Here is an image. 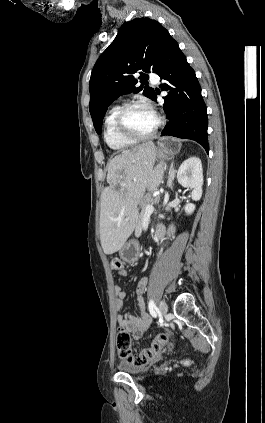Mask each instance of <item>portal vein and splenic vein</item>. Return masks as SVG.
I'll use <instances>...</instances> for the list:
<instances>
[{
  "label": "portal vein and splenic vein",
  "mask_w": 265,
  "mask_h": 423,
  "mask_svg": "<svg viewBox=\"0 0 265 423\" xmlns=\"http://www.w3.org/2000/svg\"><path fill=\"white\" fill-rule=\"evenodd\" d=\"M168 201H169V195H168V193L166 192V193H165V197H164V202H163V204H164V205H166V204L168 203ZM154 210H155V208H154V206H153V205H148V206L146 207V214H145V220H146V222H148V221H149V217H150V215L154 212Z\"/></svg>",
  "instance_id": "obj_1"
}]
</instances>
